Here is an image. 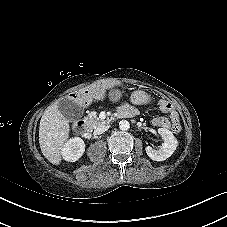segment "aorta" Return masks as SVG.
<instances>
[{"mask_svg": "<svg viewBox=\"0 0 227 227\" xmlns=\"http://www.w3.org/2000/svg\"><path fill=\"white\" fill-rule=\"evenodd\" d=\"M119 128L122 131H126L130 128V123L127 120H122L119 123Z\"/></svg>", "mask_w": 227, "mask_h": 227, "instance_id": "obj_1", "label": "aorta"}]
</instances>
